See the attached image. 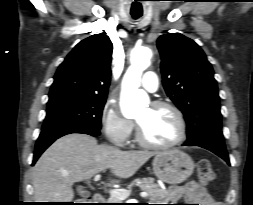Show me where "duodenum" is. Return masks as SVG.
Returning <instances> with one entry per match:
<instances>
[{
	"instance_id": "1",
	"label": "duodenum",
	"mask_w": 253,
	"mask_h": 205,
	"mask_svg": "<svg viewBox=\"0 0 253 205\" xmlns=\"http://www.w3.org/2000/svg\"><path fill=\"white\" fill-rule=\"evenodd\" d=\"M93 201L97 204H100L101 202L104 201V197L101 193H95L93 195Z\"/></svg>"
}]
</instances>
